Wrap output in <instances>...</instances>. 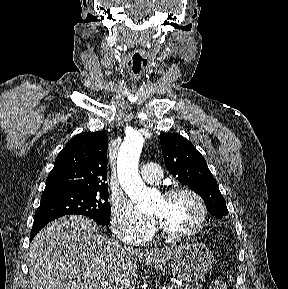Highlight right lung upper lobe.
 I'll use <instances>...</instances> for the list:
<instances>
[{"mask_svg":"<svg viewBox=\"0 0 288 289\" xmlns=\"http://www.w3.org/2000/svg\"><path fill=\"white\" fill-rule=\"evenodd\" d=\"M107 148L103 131L73 137L58 154L45 189L107 187Z\"/></svg>","mask_w":288,"mask_h":289,"instance_id":"1","label":"right lung upper lobe"}]
</instances>
